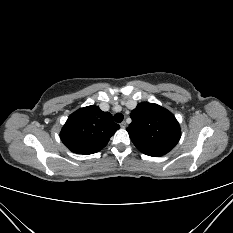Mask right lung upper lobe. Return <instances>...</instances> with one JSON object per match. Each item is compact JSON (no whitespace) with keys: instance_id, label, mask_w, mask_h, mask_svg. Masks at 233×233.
<instances>
[{"instance_id":"right-lung-upper-lobe-1","label":"right lung upper lobe","mask_w":233,"mask_h":233,"mask_svg":"<svg viewBox=\"0 0 233 233\" xmlns=\"http://www.w3.org/2000/svg\"><path fill=\"white\" fill-rule=\"evenodd\" d=\"M119 128L109 112L92 105L80 108L68 117L60 138L74 153L93 154L104 148Z\"/></svg>"}]
</instances>
